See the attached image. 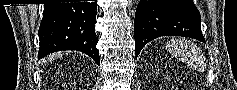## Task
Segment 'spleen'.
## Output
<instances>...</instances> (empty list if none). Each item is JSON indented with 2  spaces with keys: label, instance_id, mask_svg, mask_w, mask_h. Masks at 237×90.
Here are the masks:
<instances>
[{
  "label": "spleen",
  "instance_id": "spleen-1",
  "mask_svg": "<svg viewBox=\"0 0 237 90\" xmlns=\"http://www.w3.org/2000/svg\"><path fill=\"white\" fill-rule=\"evenodd\" d=\"M166 50L175 58L187 60V62H190V66H197L203 60V56H199L197 46L192 44L190 40H186V38H179V40H176V38L174 40L173 38L171 42H168Z\"/></svg>",
  "mask_w": 237,
  "mask_h": 90
}]
</instances>
